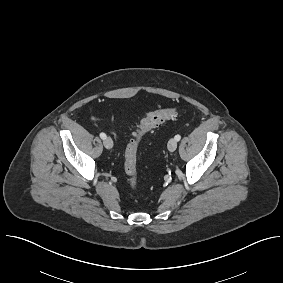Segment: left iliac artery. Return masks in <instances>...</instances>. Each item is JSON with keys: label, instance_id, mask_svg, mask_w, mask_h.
Wrapping results in <instances>:
<instances>
[{"label": "left iliac artery", "instance_id": "1", "mask_svg": "<svg viewBox=\"0 0 283 283\" xmlns=\"http://www.w3.org/2000/svg\"><path fill=\"white\" fill-rule=\"evenodd\" d=\"M174 138H175L176 141H179L181 139V136L180 135H176Z\"/></svg>", "mask_w": 283, "mask_h": 283}]
</instances>
